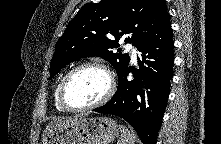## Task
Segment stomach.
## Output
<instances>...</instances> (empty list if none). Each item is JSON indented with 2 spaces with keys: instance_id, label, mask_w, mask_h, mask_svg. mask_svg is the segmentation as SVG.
Listing matches in <instances>:
<instances>
[{
  "instance_id": "0dacf381",
  "label": "stomach",
  "mask_w": 221,
  "mask_h": 144,
  "mask_svg": "<svg viewBox=\"0 0 221 144\" xmlns=\"http://www.w3.org/2000/svg\"><path fill=\"white\" fill-rule=\"evenodd\" d=\"M118 135L117 123L109 117H90L64 127L44 144H109Z\"/></svg>"
}]
</instances>
